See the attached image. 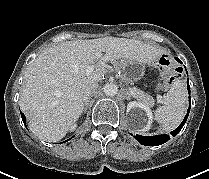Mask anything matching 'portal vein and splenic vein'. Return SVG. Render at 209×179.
<instances>
[{
	"mask_svg": "<svg viewBox=\"0 0 209 179\" xmlns=\"http://www.w3.org/2000/svg\"><path fill=\"white\" fill-rule=\"evenodd\" d=\"M97 56L100 57L101 54L98 53ZM94 68H95L94 65L88 66L87 69H86L87 74L92 73L94 71ZM130 92L132 93V89H130ZM159 101H161V97L159 98Z\"/></svg>",
	"mask_w": 209,
	"mask_h": 179,
	"instance_id": "obj_1",
	"label": "portal vein and splenic vein"
}]
</instances>
